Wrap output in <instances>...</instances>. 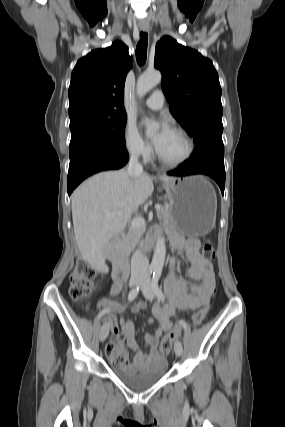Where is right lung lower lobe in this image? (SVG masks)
I'll list each match as a JSON object with an SVG mask.
<instances>
[{"label":"right lung lower lobe","mask_w":285,"mask_h":427,"mask_svg":"<svg viewBox=\"0 0 285 427\" xmlns=\"http://www.w3.org/2000/svg\"><path fill=\"white\" fill-rule=\"evenodd\" d=\"M125 148L118 149L100 142H90L70 157L67 191H72L85 178L104 170H114L123 167L128 161Z\"/></svg>","instance_id":"obj_1"}]
</instances>
